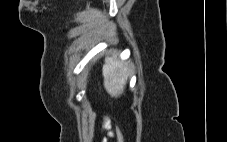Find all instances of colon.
Here are the masks:
<instances>
[{"mask_svg": "<svg viewBox=\"0 0 227 142\" xmlns=\"http://www.w3.org/2000/svg\"><path fill=\"white\" fill-rule=\"evenodd\" d=\"M115 134H116V137H117V142H124L123 133L119 128L116 129Z\"/></svg>", "mask_w": 227, "mask_h": 142, "instance_id": "5ec220e1", "label": "colon"}]
</instances>
